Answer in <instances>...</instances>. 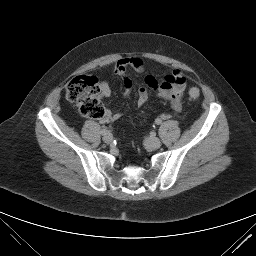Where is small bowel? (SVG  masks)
Instances as JSON below:
<instances>
[{"mask_svg":"<svg viewBox=\"0 0 256 256\" xmlns=\"http://www.w3.org/2000/svg\"><path fill=\"white\" fill-rule=\"evenodd\" d=\"M132 68L136 72H143L145 69L144 62L140 58L130 57L119 60L115 66V73L123 79L124 96L128 98L132 91V81L127 76V70ZM146 87H140L137 92V104L142 106L148 99V89L157 90L158 96L161 99L168 101L175 111H180L183 94L186 90V80L182 73L178 70L172 71L165 76L161 81H158L153 76H148L145 79ZM101 95L109 97L111 88L106 81L101 82ZM121 118L120 113H112L106 111L102 118V123H109Z\"/></svg>","mask_w":256,"mask_h":256,"instance_id":"obj_1","label":"small bowel"}]
</instances>
